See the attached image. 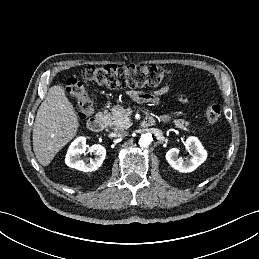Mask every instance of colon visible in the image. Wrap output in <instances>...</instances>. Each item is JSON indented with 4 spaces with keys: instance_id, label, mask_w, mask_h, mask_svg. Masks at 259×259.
<instances>
[{
    "instance_id": "1",
    "label": "colon",
    "mask_w": 259,
    "mask_h": 259,
    "mask_svg": "<svg viewBox=\"0 0 259 259\" xmlns=\"http://www.w3.org/2000/svg\"><path fill=\"white\" fill-rule=\"evenodd\" d=\"M84 78L92 83L105 85L111 88L127 87L142 88L145 86H158L174 78L171 68L158 65H106L89 66L84 71ZM66 92L77 100L76 110L82 119L92 114L94 102L87 88L76 78L66 81ZM206 120L209 124H216L221 118L219 104H211L206 109Z\"/></svg>"
}]
</instances>
